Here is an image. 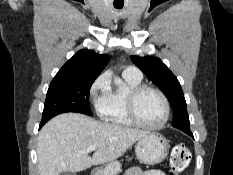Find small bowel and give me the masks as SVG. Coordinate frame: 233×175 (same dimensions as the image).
<instances>
[{"label": "small bowel", "instance_id": "c3829d8e", "mask_svg": "<svg viewBox=\"0 0 233 175\" xmlns=\"http://www.w3.org/2000/svg\"><path fill=\"white\" fill-rule=\"evenodd\" d=\"M124 175H165V173L158 169L143 171L139 168H131L127 170Z\"/></svg>", "mask_w": 233, "mask_h": 175}]
</instances>
